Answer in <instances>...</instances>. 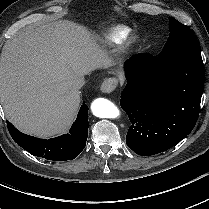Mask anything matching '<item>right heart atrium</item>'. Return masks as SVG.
<instances>
[{
  "label": "right heart atrium",
  "instance_id": "d8ad5b80",
  "mask_svg": "<svg viewBox=\"0 0 209 209\" xmlns=\"http://www.w3.org/2000/svg\"><path fill=\"white\" fill-rule=\"evenodd\" d=\"M78 78V73L75 70H70L68 72L67 81L68 82H74Z\"/></svg>",
  "mask_w": 209,
  "mask_h": 209
}]
</instances>
